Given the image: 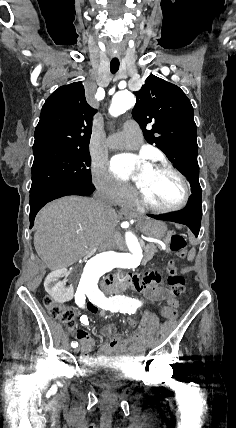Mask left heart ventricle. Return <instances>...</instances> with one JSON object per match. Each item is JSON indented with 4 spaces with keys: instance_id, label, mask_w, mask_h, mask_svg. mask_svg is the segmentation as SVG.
Instances as JSON below:
<instances>
[{
    "instance_id": "1",
    "label": "left heart ventricle",
    "mask_w": 236,
    "mask_h": 428,
    "mask_svg": "<svg viewBox=\"0 0 236 428\" xmlns=\"http://www.w3.org/2000/svg\"><path fill=\"white\" fill-rule=\"evenodd\" d=\"M137 179L139 188L157 205L171 207L182 198L183 189L180 181L167 171L152 169L140 171Z\"/></svg>"
}]
</instances>
